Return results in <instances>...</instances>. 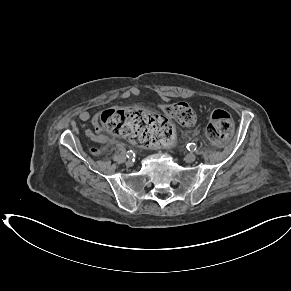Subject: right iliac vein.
<instances>
[{
    "instance_id": "1",
    "label": "right iliac vein",
    "mask_w": 291,
    "mask_h": 291,
    "mask_svg": "<svg viewBox=\"0 0 291 291\" xmlns=\"http://www.w3.org/2000/svg\"><path fill=\"white\" fill-rule=\"evenodd\" d=\"M133 161L132 160H128L127 162H126V166L127 167H132L133 166Z\"/></svg>"
}]
</instances>
